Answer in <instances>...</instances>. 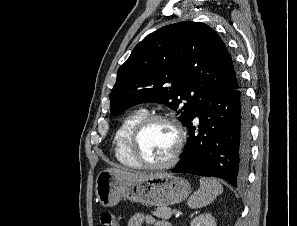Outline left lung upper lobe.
<instances>
[{"label": "left lung upper lobe", "instance_id": "1", "mask_svg": "<svg viewBox=\"0 0 297 226\" xmlns=\"http://www.w3.org/2000/svg\"><path fill=\"white\" fill-rule=\"evenodd\" d=\"M238 85L239 76L219 35L206 24L180 22L135 46L118 70L110 111L115 116L139 103H163L180 113L185 126L202 93Z\"/></svg>", "mask_w": 297, "mask_h": 226}]
</instances>
